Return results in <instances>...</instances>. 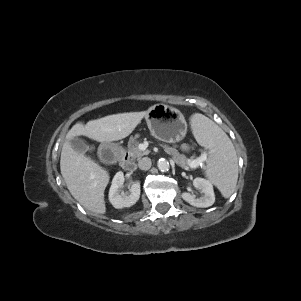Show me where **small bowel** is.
<instances>
[{
  "label": "small bowel",
  "mask_w": 301,
  "mask_h": 301,
  "mask_svg": "<svg viewBox=\"0 0 301 301\" xmlns=\"http://www.w3.org/2000/svg\"><path fill=\"white\" fill-rule=\"evenodd\" d=\"M182 148H183V149H186V148H187V145H183Z\"/></svg>",
  "instance_id": "small-bowel-1"
}]
</instances>
